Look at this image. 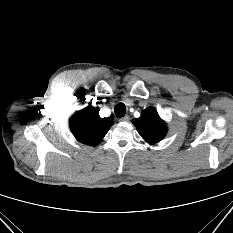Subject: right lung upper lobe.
Returning a JSON list of instances; mask_svg holds the SVG:
<instances>
[{"mask_svg":"<svg viewBox=\"0 0 233 233\" xmlns=\"http://www.w3.org/2000/svg\"><path fill=\"white\" fill-rule=\"evenodd\" d=\"M113 125L110 118H100L99 109L87 106L70 118V129L75 138L86 145L96 146Z\"/></svg>","mask_w":233,"mask_h":233,"instance_id":"right-lung-upper-lobe-1","label":"right lung upper lobe"}]
</instances>
